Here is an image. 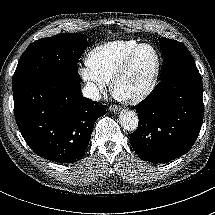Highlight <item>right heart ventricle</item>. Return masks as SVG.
I'll return each mask as SVG.
<instances>
[{"instance_id": "1", "label": "right heart ventricle", "mask_w": 215, "mask_h": 215, "mask_svg": "<svg viewBox=\"0 0 215 215\" xmlns=\"http://www.w3.org/2000/svg\"><path fill=\"white\" fill-rule=\"evenodd\" d=\"M137 44L136 40H115L95 47L85 57L86 72L97 81L110 82L127 53Z\"/></svg>"}]
</instances>
